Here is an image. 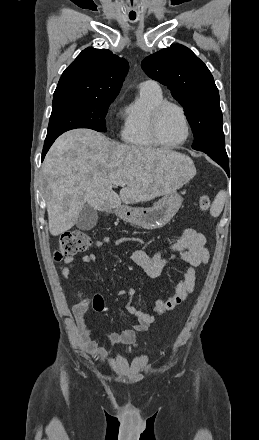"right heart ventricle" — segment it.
<instances>
[{
	"label": "right heart ventricle",
	"instance_id": "right-heart-ventricle-1",
	"mask_svg": "<svg viewBox=\"0 0 259 440\" xmlns=\"http://www.w3.org/2000/svg\"><path fill=\"white\" fill-rule=\"evenodd\" d=\"M163 101L161 92L140 90L136 99L126 106L120 133L126 144L141 150L158 146L151 135L150 120L154 108Z\"/></svg>",
	"mask_w": 259,
	"mask_h": 440
}]
</instances>
